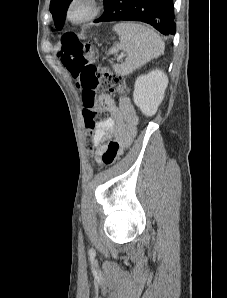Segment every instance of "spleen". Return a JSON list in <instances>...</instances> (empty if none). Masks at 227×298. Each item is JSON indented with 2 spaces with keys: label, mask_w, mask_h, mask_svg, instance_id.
Listing matches in <instances>:
<instances>
[{
  "label": "spleen",
  "mask_w": 227,
  "mask_h": 298,
  "mask_svg": "<svg viewBox=\"0 0 227 298\" xmlns=\"http://www.w3.org/2000/svg\"><path fill=\"white\" fill-rule=\"evenodd\" d=\"M113 30L118 34L120 42L113 45L110 53H117L118 50L127 53L123 63L113 65L118 75H129L164 53L165 43L162 38L144 25L121 22Z\"/></svg>",
  "instance_id": "obj_1"
}]
</instances>
